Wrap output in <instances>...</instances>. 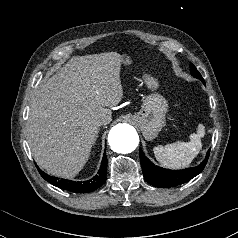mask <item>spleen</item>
<instances>
[{"mask_svg":"<svg viewBox=\"0 0 238 238\" xmlns=\"http://www.w3.org/2000/svg\"><path fill=\"white\" fill-rule=\"evenodd\" d=\"M205 127L198 125L197 134L190 136L189 142H176L166 146L159 145L153 149L156 159L166 167L181 168L189 165L202 148Z\"/></svg>","mask_w":238,"mask_h":238,"instance_id":"spleen-1","label":"spleen"}]
</instances>
